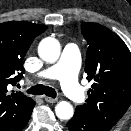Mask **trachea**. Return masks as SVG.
<instances>
[{
	"mask_svg": "<svg viewBox=\"0 0 131 131\" xmlns=\"http://www.w3.org/2000/svg\"><path fill=\"white\" fill-rule=\"evenodd\" d=\"M27 93L33 94V95L45 94L46 96L51 97V98H56V95H57L56 91L53 88L42 85V84L32 86L31 88L27 90Z\"/></svg>",
	"mask_w": 131,
	"mask_h": 131,
	"instance_id": "obj_1",
	"label": "trachea"
}]
</instances>
